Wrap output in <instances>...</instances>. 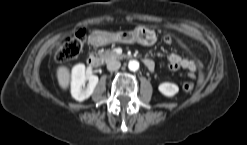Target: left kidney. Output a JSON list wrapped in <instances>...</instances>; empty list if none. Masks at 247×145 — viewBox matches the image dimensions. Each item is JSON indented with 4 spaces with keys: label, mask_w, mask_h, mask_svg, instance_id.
Listing matches in <instances>:
<instances>
[{
    "label": "left kidney",
    "mask_w": 247,
    "mask_h": 145,
    "mask_svg": "<svg viewBox=\"0 0 247 145\" xmlns=\"http://www.w3.org/2000/svg\"><path fill=\"white\" fill-rule=\"evenodd\" d=\"M158 89L159 91L167 96V97H173L175 94L178 93L179 91V88L176 84L174 83H170V82H164V83H161L159 86H158Z\"/></svg>",
    "instance_id": "1"
}]
</instances>
